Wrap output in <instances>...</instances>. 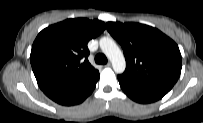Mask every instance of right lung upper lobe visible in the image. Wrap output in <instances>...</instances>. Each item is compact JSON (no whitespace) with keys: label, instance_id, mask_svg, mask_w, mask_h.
<instances>
[{"label":"right lung upper lobe","instance_id":"right-lung-upper-lobe-1","mask_svg":"<svg viewBox=\"0 0 203 123\" xmlns=\"http://www.w3.org/2000/svg\"><path fill=\"white\" fill-rule=\"evenodd\" d=\"M104 29V22L86 18L67 19L43 29L30 54L39 87L88 80L99 74L88 61L87 43Z\"/></svg>","mask_w":203,"mask_h":123}]
</instances>
